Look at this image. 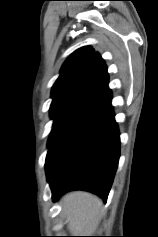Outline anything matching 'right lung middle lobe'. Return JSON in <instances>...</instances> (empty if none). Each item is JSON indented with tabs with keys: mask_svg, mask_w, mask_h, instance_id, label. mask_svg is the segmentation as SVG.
<instances>
[{
	"mask_svg": "<svg viewBox=\"0 0 158 237\" xmlns=\"http://www.w3.org/2000/svg\"><path fill=\"white\" fill-rule=\"evenodd\" d=\"M78 107H80V105L73 102L53 101L50 107L51 118L55 119L53 129Z\"/></svg>",
	"mask_w": 158,
	"mask_h": 237,
	"instance_id": "right-lung-middle-lobe-1",
	"label": "right lung middle lobe"
}]
</instances>
